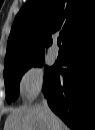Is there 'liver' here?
<instances>
[{"instance_id":"1","label":"liver","mask_w":95,"mask_h":130,"mask_svg":"<svg viewBox=\"0 0 95 130\" xmlns=\"http://www.w3.org/2000/svg\"><path fill=\"white\" fill-rule=\"evenodd\" d=\"M4 130H68L60 118L50 117L41 104L12 109Z\"/></svg>"}]
</instances>
